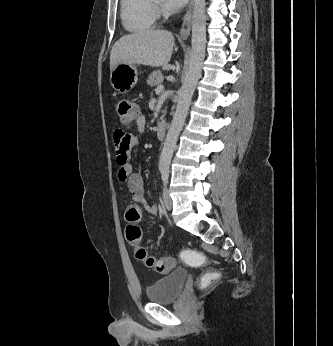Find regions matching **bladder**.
<instances>
[{
	"instance_id": "1",
	"label": "bladder",
	"mask_w": 333,
	"mask_h": 346,
	"mask_svg": "<svg viewBox=\"0 0 333 346\" xmlns=\"http://www.w3.org/2000/svg\"><path fill=\"white\" fill-rule=\"evenodd\" d=\"M187 272L176 268L164 277L159 278L146 289L150 303H169L178 298L187 280Z\"/></svg>"
}]
</instances>
